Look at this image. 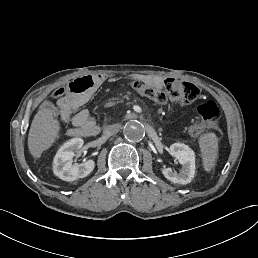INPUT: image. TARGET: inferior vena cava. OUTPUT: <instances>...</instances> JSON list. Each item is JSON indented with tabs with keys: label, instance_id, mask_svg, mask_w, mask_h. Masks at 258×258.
I'll list each match as a JSON object with an SVG mask.
<instances>
[{
	"label": "inferior vena cava",
	"instance_id": "1",
	"mask_svg": "<svg viewBox=\"0 0 258 258\" xmlns=\"http://www.w3.org/2000/svg\"><path fill=\"white\" fill-rule=\"evenodd\" d=\"M120 129L121 126L119 124L110 125L105 128L104 134L107 136H113L118 133Z\"/></svg>",
	"mask_w": 258,
	"mask_h": 258
}]
</instances>
